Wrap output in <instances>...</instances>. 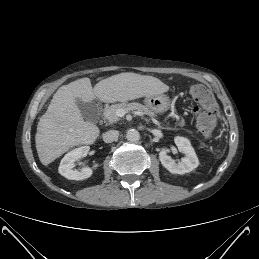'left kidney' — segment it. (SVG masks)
Instances as JSON below:
<instances>
[{
    "label": "left kidney",
    "instance_id": "1",
    "mask_svg": "<svg viewBox=\"0 0 259 259\" xmlns=\"http://www.w3.org/2000/svg\"><path fill=\"white\" fill-rule=\"evenodd\" d=\"M178 150L185 154L179 163H176L170 156H168V149L163 148L159 153L161 164L173 174H185L191 172L199 165L197 155L187 138L177 136L174 139Z\"/></svg>",
    "mask_w": 259,
    "mask_h": 259
}]
</instances>
